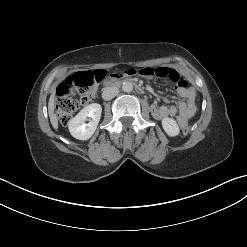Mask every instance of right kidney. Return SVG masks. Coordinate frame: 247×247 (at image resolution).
<instances>
[{
  "label": "right kidney",
  "mask_w": 247,
  "mask_h": 247,
  "mask_svg": "<svg viewBox=\"0 0 247 247\" xmlns=\"http://www.w3.org/2000/svg\"><path fill=\"white\" fill-rule=\"evenodd\" d=\"M101 112L102 107L98 103H92L84 107L69 121L68 128L71 135L79 140L91 138L100 121ZM87 120H89V123L86 124Z\"/></svg>",
  "instance_id": "1"
}]
</instances>
